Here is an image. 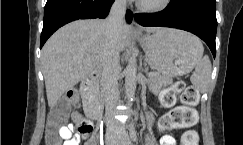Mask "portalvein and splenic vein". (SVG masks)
<instances>
[{"instance_id": "obj_1", "label": "portal vein and splenic vein", "mask_w": 243, "mask_h": 145, "mask_svg": "<svg viewBox=\"0 0 243 145\" xmlns=\"http://www.w3.org/2000/svg\"><path fill=\"white\" fill-rule=\"evenodd\" d=\"M155 73H148V76L151 77V76H154Z\"/></svg>"}]
</instances>
